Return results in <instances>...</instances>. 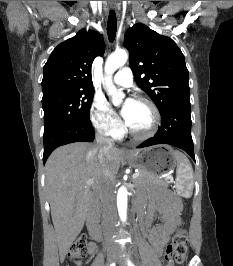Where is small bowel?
I'll return each mask as SVG.
<instances>
[{
    "label": "small bowel",
    "mask_w": 233,
    "mask_h": 266,
    "mask_svg": "<svg viewBox=\"0 0 233 266\" xmlns=\"http://www.w3.org/2000/svg\"><path fill=\"white\" fill-rule=\"evenodd\" d=\"M137 208L144 213V218L140 222L141 231L148 238L156 255H162L164 245L179 224L181 200L165 190L149 199H140L137 202ZM156 215L160 223L154 225ZM88 252L92 257L95 256L96 244L94 242L88 245Z\"/></svg>",
    "instance_id": "small-bowel-1"
}]
</instances>
